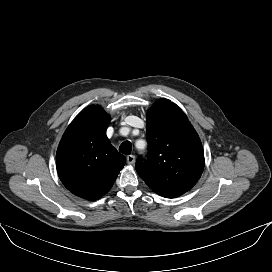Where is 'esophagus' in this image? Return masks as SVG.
<instances>
[{
	"label": "esophagus",
	"mask_w": 272,
	"mask_h": 272,
	"mask_svg": "<svg viewBox=\"0 0 272 272\" xmlns=\"http://www.w3.org/2000/svg\"><path fill=\"white\" fill-rule=\"evenodd\" d=\"M126 160L129 165H133L135 163V156L129 155V156H127Z\"/></svg>",
	"instance_id": "esophagus-1"
}]
</instances>
